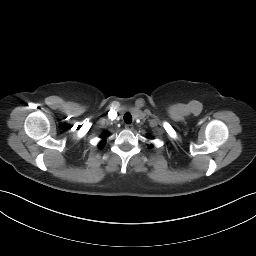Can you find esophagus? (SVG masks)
<instances>
[{"instance_id": "esophagus-1", "label": "esophagus", "mask_w": 256, "mask_h": 256, "mask_svg": "<svg viewBox=\"0 0 256 256\" xmlns=\"http://www.w3.org/2000/svg\"><path fill=\"white\" fill-rule=\"evenodd\" d=\"M125 128H126L127 130H133V125H131V124H126V125H125Z\"/></svg>"}]
</instances>
